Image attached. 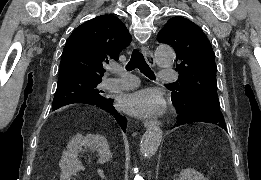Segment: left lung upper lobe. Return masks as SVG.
<instances>
[{"instance_id":"obj_1","label":"left lung upper lobe","mask_w":261,"mask_h":180,"mask_svg":"<svg viewBox=\"0 0 261 180\" xmlns=\"http://www.w3.org/2000/svg\"><path fill=\"white\" fill-rule=\"evenodd\" d=\"M159 43L171 45L176 52L179 83L172 101L181 102L189 95L219 105L216 88L215 57L204 32L183 17H173L158 33Z\"/></svg>"}]
</instances>
